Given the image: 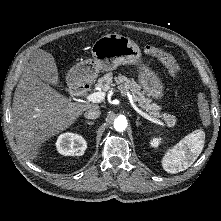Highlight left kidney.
<instances>
[{"label": "left kidney", "instance_id": "left-kidney-1", "mask_svg": "<svg viewBox=\"0 0 221 221\" xmlns=\"http://www.w3.org/2000/svg\"><path fill=\"white\" fill-rule=\"evenodd\" d=\"M161 140H162L161 138L154 137L153 139H151L150 144L152 147L157 148L161 143Z\"/></svg>", "mask_w": 221, "mask_h": 221}]
</instances>
